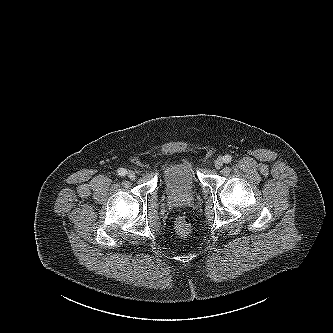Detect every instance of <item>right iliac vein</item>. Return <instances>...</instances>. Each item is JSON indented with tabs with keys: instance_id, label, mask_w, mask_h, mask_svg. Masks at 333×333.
<instances>
[{
	"instance_id": "obj_1",
	"label": "right iliac vein",
	"mask_w": 333,
	"mask_h": 333,
	"mask_svg": "<svg viewBox=\"0 0 333 333\" xmlns=\"http://www.w3.org/2000/svg\"><path fill=\"white\" fill-rule=\"evenodd\" d=\"M127 176H128L131 180H134V179L136 178V174H135V172H134V171H131V170H129V171L127 172Z\"/></svg>"
}]
</instances>
